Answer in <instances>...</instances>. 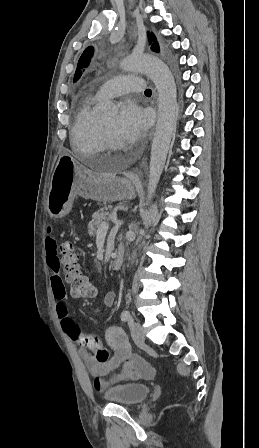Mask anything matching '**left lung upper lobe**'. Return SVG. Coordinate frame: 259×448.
Returning <instances> with one entry per match:
<instances>
[{
  "mask_svg": "<svg viewBox=\"0 0 259 448\" xmlns=\"http://www.w3.org/2000/svg\"><path fill=\"white\" fill-rule=\"evenodd\" d=\"M148 37H149L150 43H152V39L154 40L152 43L151 49L155 52H159V45H158V42L156 41V37L154 36V34L151 33V36H150L148 33ZM92 56H93V48L92 47L86 48L78 61L77 69H76L75 76H74V81H77L80 78V76L82 74V68L87 67L89 65Z\"/></svg>",
  "mask_w": 259,
  "mask_h": 448,
  "instance_id": "left-lung-upper-lobe-1",
  "label": "left lung upper lobe"
}]
</instances>
